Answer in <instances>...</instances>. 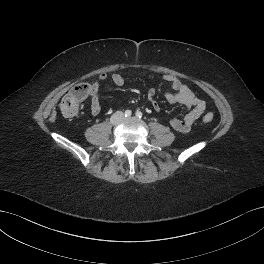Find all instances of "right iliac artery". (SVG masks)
I'll list each match as a JSON object with an SVG mask.
<instances>
[{"mask_svg":"<svg viewBox=\"0 0 264 264\" xmlns=\"http://www.w3.org/2000/svg\"><path fill=\"white\" fill-rule=\"evenodd\" d=\"M124 114H125V117H130L132 112L130 110H126Z\"/></svg>","mask_w":264,"mask_h":264,"instance_id":"right-iliac-artery-1","label":"right iliac artery"}]
</instances>
